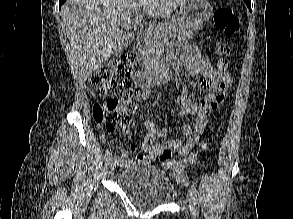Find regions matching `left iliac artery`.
I'll return each mask as SVG.
<instances>
[{
    "instance_id": "obj_1",
    "label": "left iliac artery",
    "mask_w": 293,
    "mask_h": 219,
    "mask_svg": "<svg viewBox=\"0 0 293 219\" xmlns=\"http://www.w3.org/2000/svg\"><path fill=\"white\" fill-rule=\"evenodd\" d=\"M190 192L194 197H197V190L194 184L191 185Z\"/></svg>"
}]
</instances>
